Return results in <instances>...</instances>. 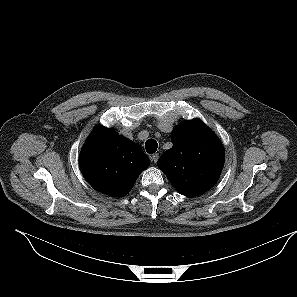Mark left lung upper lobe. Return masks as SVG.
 I'll use <instances>...</instances> for the list:
<instances>
[{
  "instance_id": "left-lung-upper-lobe-1",
  "label": "left lung upper lobe",
  "mask_w": 297,
  "mask_h": 297,
  "mask_svg": "<svg viewBox=\"0 0 297 297\" xmlns=\"http://www.w3.org/2000/svg\"><path fill=\"white\" fill-rule=\"evenodd\" d=\"M173 147L157 165L181 194L196 196L218 180L225 161L219 138L199 119L186 120L171 134Z\"/></svg>"
}]
</instances>
